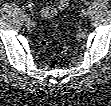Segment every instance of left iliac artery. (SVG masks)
<instances>
[{"label":"left iliac artery","mask_w":111,"mask_h":106,"mask_svg":"<svg viewBox=\"0 0 111 106\" xmlns=\"http://www.w3.org/2000/svg\"><path fill=\"white\" fill-rule=\"evenodd\" d=\"M85 4L88 6L90 3L87 1V2H85Z\"/></svg>","instance_id":"obj_1"}]
</instances>
